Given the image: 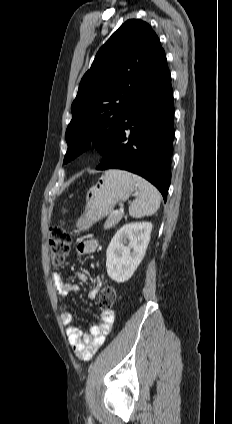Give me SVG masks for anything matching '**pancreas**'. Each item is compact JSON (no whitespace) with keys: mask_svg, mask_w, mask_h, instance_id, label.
I'll return each mask as SVG.
<instances>
[{"mask_svg":"<svg viewBox=\"0 0 232 424\" xmlns=\"http://www.w3.org/2000/svg\"><path fill=\"white\" fill-rule=\"evenodd\" d=\"M116 211H113L109 214L107 220L104 224V229H110L114 227L124 216V213H115Z\"/></svg>","mask_w":232,"mask_h":424,"instance_id":"obj_1","label":"pancreas"}]
</instances>
